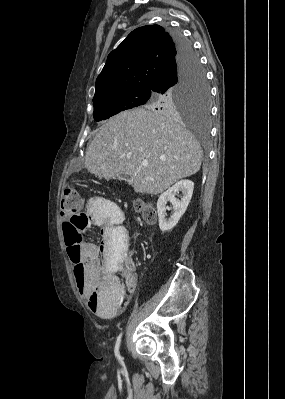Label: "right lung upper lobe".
Segmentation results:
<instances>
[{"label":"right lung upper lobe","mask_w":285,"mask_h":399,"mask_svg":"<svg viewBox=\"0 0 285 399\" xmlns=\"http://www.w3.org/2000/svg\"><path fill=\"white\" fill-rule=\"evenodd\" d=\"M177 55L172 35L159 25L135 29L107 57L93 99L131 89H151Z\"/></svg>","instance_id":"cb5924a9"}]
</instances>
